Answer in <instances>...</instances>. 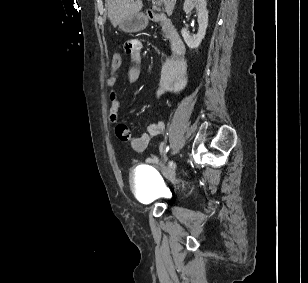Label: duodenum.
Instances as JSON below:
<instances>
[{"mask_svg": "<svg viewBox=\"0 0 308 283\" xmlns=\"http://www.w3.org/2000/svg\"><path fill=\"white\" fill-rule=\"evenodd\" d=\"M146 16L151 21H163L169 28V39L170 45L173 52V57L175 62H182L181 57L185 52V44L184 41L179 34V32L174 28L170 20H168L164 15L149 9L146 12Z\"/></svg>", "mask_w": 308, "mask_h": 283, "instance_id": "410a0bca", "label": "duodenum"}]
</instances>
